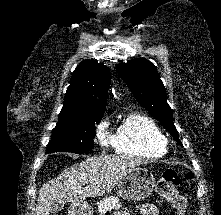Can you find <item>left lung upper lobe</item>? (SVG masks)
<instances>
[{"mask_svg": "<svg viewBox=\"0 0 221 215\" xmlns=\"http://www.w3.org/2000/svg\"><path fill=\"white\" fill-rule=\"evenodd\" d=\"M117 72L128 85L137 101L147 109L182 145L173 123L172 109L167 103L166 90L156 67L144 58L120 63Z\"/></svg>", "mask_w": 221, "mask_h": 215, "instance_id": "left-lung-upper-lobe-1", "label": "left lung upper lobe"}]
</instances>
